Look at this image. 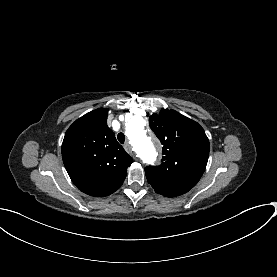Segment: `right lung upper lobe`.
I'll list each match as a JSON object with an SVG mask.
<instances>
[{"label":"right lung upper lobe","instance_id":"cb5924a9","mask_svg":"<svg viewBox=\"0 0 277 277\" xmlns=\"http://www.w3.org/2000/svg\"><path fill=\"white\" fill-rule=\"evenodd\" d=\"M106 121L107 109L85 114L69 127L62 144L63 162L72 182L90 196L115 192L132 163Z\"/></svg>","mask_w":277,"mask_h":277}]
</instances>
